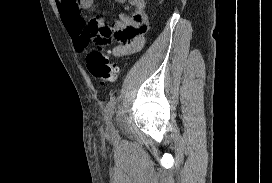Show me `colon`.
<instances>
[{
    "label": "colon",
    "instance_id": "colon-1",
    "mask_svg": "<svg viewBox=\"0 0 272 183\" xmlns=\"http://www.w3.org/2000/svg\"><path fill=\"white\" fill-rule=\"evenodd\" d=\"M106 40L108 39H100L96 41L95 48L89 50L85 56V64L89 73L101 85L115 81L118 75L117 65L109 58V56L103 50V47L106 44Z\"/></svg>",
    "mask_w": 272,
    "mask_h": 183
}]
</instances>
